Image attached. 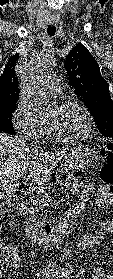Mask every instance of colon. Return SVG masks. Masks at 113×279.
I'll list each match as a JSON object with an SVG mask.
<instances>
[{"label": "colon", "instance_id": "1", "mask_svg": "<svg viewBox=\"0 0 113 279\" xmlns=\"http://www.w3.org/2000/svg\"><path fill=\"white\" fill-rule=\"evenodd\" d=\"M105 161L99 170L101 188L104 192L113 195V145H108L104 151ZM0 276L4 274L7 265H11L19 253L15 249L6 250L0 246ZM2 254V255H1Z\"/></svg>", "mask_w": 113, "mask_h": 279}]
</instances>
